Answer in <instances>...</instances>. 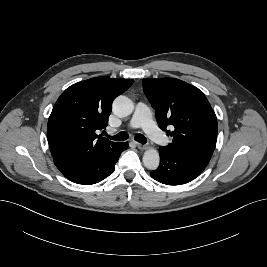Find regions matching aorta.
<instances>
[{
    "label": "aorta",
    "mask_w": 267,
    "mask_h": 267,
    "mask_svg": "<svg viewBox=\"0 0 267 267\" xmlns=\"http://www.w3.org/2000/svg\"><path fill=\"white\" fill-rule=\"evenodd\" d=\"M134 110V104L131 99L120 95L113 101V112L119 117H126ZM144 166L149 170H156L160 163V156L156 149L149 148L143 155Z\"/></svg>",
    "instance_id": "obj_1"
}]
</instances>
